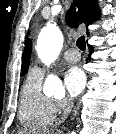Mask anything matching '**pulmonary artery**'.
Returning <instances> with one entry per match:
<instances>
[{
	"mask_svg": "<svg viewBox=\"0 0 116 134\" xmlns=\"http://www.w3.org/2000/svg\"><path fill=\"white\" fill-rule=\"evenodd\" d=\"M63 57H64V59L66 61L71 62V63H75V62H77V61L80 60V54L75 49H69V50H67L64 53ZM34 68L36 70H38L39 72H42L43 73V69L40 66H36Z\"/></svg>",
	"mask_w": 116,
	"mask_h": 134,
	"instance_id": "e3ab8cb5",
	"label": "pulmonary artery"
}]
</instances>
